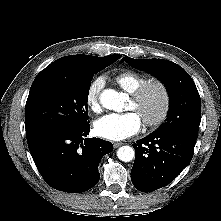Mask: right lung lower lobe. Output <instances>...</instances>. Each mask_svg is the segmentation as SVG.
I'll use <instances>...</instances> for the list:
<instances>
[{
	"instance_id": "1",
	"label": "right lung lower lobe",
	"mask_w": 221,
	"mask_h": 221,
	"mask_svg": "<svg viewBox=\"0 0 221 221\" xmlns=\"http://www.w3.org/2000/svg\"><path fill=\"white\" fill-rule=\"evenodd\" d=\"M90 125L76 129H53L27 139L33 160L51 187L80 193L94 187L100 178V159L113 150L109 141L84 139Z\"/></svg>"
}]
</instances>
